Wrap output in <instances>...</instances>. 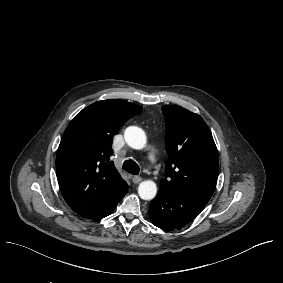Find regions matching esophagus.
Returning <instances> with one entry per match:
<instances>
[{
    "mask_svg": "<svg viewBox=\"0 0 283 283\" xmlns=\"http://www.w3.org/2000/svg\"><path fill=\"white\" fill-rule=\"evenodd\" d=\"M142 181V178L140 176H134L132 178V182L137 184V183H140Z\"/></svg>",
    "mask_w": 283,
    "mask_h": 283,
    "instance_id": "esophagus-1",
    "label": "esophagus"
}]
</instances>
